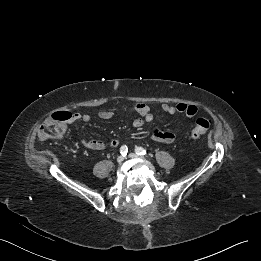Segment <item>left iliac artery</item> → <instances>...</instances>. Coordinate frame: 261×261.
Returning <instances> with one entry per match:
<instances>
[{"mask_svg":"<svg viewBox=\"0 0 261 261\" xmlns=\"http://www.w3.org/2000/svg\"><path fill=\"white\" fill-rule=\"evenodd\" d=\"M135 152L138 155H146V150L144 148H142V147H136Z\"/></svg>","mask_w":261,"mask_h":261,"instance_id":"obj_1","label":"left iliac artery"}]
</instances>
